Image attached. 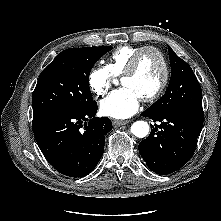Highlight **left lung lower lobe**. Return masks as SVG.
<instances>
[{
	"label": "left lung lower lobe",
	"mask_w": 221,
	"mask_h": 221,
	"mask_svg": "<svg viewBox=\"0 0 221 221\" xmlns=\"http://www.w3.org/2000/svg\"><path fill=\"white\" fill-rule=\"evenodd\" d=\"M142 116L160 122L139 144V152L147 166L160 175L184 166L194 154L203 125V111L152 114L145 110Z\"/></svg>",
	"instance_id": "1"
}]
</instances>
